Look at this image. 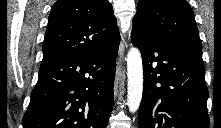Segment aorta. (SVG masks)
<instances>
[{
  "label": "aorta",
  "mask_w": 221,
  "mask_h": 128,
  "mask_svg": "<svg viewBox=\"0 0 221 128\" xmlns=\"http://www.w3.org/2000/svg\"><path fill=\"white\" fill-rule=\"evenodd\" d=\"M127 105L130 112H136L140 106L143 92V65L138 48L132 47L127 54Z\"/></svg>",
  "instance_id": "aorta-1"
}]
</instances>
